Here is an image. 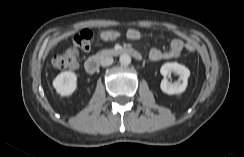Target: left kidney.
<instances>
[{
    "mask_svg": "<svg viewBox=\"0 0 244 157\" xmlns=\"http://www.w3.org/2000/svg\"><path fill=\"white\" fill-rule=\"evenodd\" d=\"M160 72L164 77L160 84L161 90L164 93L173 95L183 93L186 90L190 76V71L187 67L177 62H167L162 65ZM172 72L179 75V79L175 83L169 82L166 78Z\"/></svg>",
    "mask_w": 244,
    "mask_h": 157,
    "instance_id": "1",
    "label": "left kidney"
}]
</instances>
